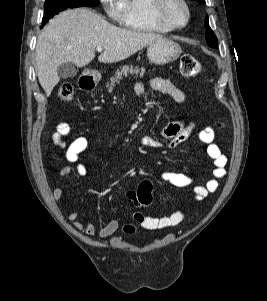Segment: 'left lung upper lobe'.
<instances>
[{
  "label": "left lung upper lobe",
  "instance_id": "obj_1",
  "mask_svg": "<svg viewBox=\"0 0 267 301\" xmlns=\"http://www.w3.org/2000/svg\"><path fill=\"white\" fill-rule=\"evenodd\" d=\"M198 3L202 4L205 0H196ZM205 27H206V41L210 47L217 48L218 40L213 31L209 26L208 16L205 18Z\"/></svg>",
  "mask_w": 267,
  "mask_h": 301
}]
</instances>
